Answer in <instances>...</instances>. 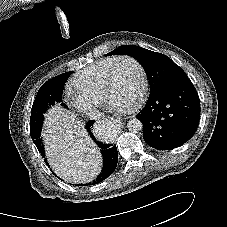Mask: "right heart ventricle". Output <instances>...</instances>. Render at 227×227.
Here are the masks:
<instances>
[{
	"label": "right heart ventricle",
	"instance_id": "1",
	"mask_svg": "<svg viewBox=\"0 0 227 227\" xmlns=\"http://www.w3.org/2000/svg\"><path fill=\"white\" fill-rule=\"evenodd\" d=\"M117 56L102 58L74 76L71 85L76 93L101 101L107 73Z\"/></svg>",
	"mask_w": 227,
	"mask_h": 227
}]
</instances>
